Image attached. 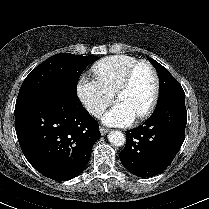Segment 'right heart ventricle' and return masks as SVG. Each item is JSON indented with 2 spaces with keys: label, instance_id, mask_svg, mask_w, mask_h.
I'll return each mask as SVG.
<instances>
[{
  "label": "right heart ventricle",
  "instance_id": "right-heart-ventricle-1",
  "mask_svg": "<svg viewBox=\"0 0 209 209\" xmlns=\"http://www.w3.org/2000/svg\"><path fill=\"white\" fill-rule=\"evenodd\" d=\"M138 62L133 56L114 55L98 61L92 71L96 79L114 93L128 69Z\"/></svg>",
  "mask_w": 209,
  "mask_h": 209
}]
</instances>
